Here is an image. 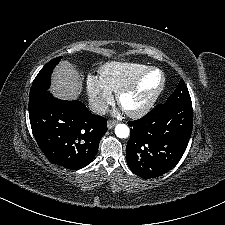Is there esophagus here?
Here are the masks:
<instances>
[{
    "mask_svg": "<svg viewBox=\"0 0 225 225\" xmlns=\"http://www.w3.org/2000/svg\"><path fill=\"white\" fill-rule=\"evenodd\" d=\"M117 124L116 120L108 121V129H112Z\"/></svg>",
    "mask_w": 225,
    "mask_h": 225,
    "instance_id": "34e87169",
    "label": "esophagus"
}]
</instances>
